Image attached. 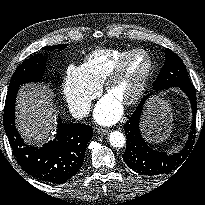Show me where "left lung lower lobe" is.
<instances>
[{
    "label": "left lung lower lobe",
    "mask_w": 205,
    "mask_h": 205,
    "mask_svg": "<svg viewBox=\"0 0 205 205\" xmlns=\"http://www.w3.org/2000/svg\"><path fill=\"white\" fill-rule=\"evenodd\" d=\"M191 102L193 121L190 131V137L185 148L174 155H167L165 152H159L151 149L140 134L139 120L143 110V105L148 96H145L138 105L129 121L124 124V130L127 138L126 151L123 160L129 168L137 173L146 176H157L169 173L179 166L185 159L191 146L192 138L195 133L196 116V92L192 83L178 86Z\"/></svg>",
    "instance_id": "1"
}]
</instances>
